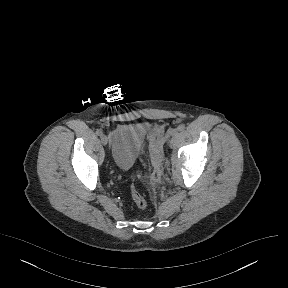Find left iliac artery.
<instances>
[{
	"label": "left iliac artery",
	"mask_w": 288,
	"mask_h": 288,
	"mask_svg": "<svg viewBox=\"0 0 288 288\" xmlns=\"http://www.w3.org/2000/svg\"><path fill=\"white\" fill-rule=\"evenodd\" d=\"M177 129H178L179 131H183V130L185 129V125H184V124H180V125L177 127Z\"/></svg>",
	"instance_id": "obj_1"
}]
</instances>
